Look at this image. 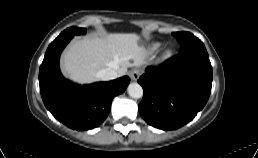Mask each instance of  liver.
<instances>
[{
    "label": "liver",
    "mask_w": 258,
    "mask_h": 158,
    "mask_svg": "<svg viewBox=\"0 0 258 158\" xmlns=\"http://www.w3.org/2000/svg\"><path fill=\"white\" fill-rule=\"evenodd\" d=\"M145 57L137 34L114 33L75 39L63 53L62 68L71 80L92 83L100 70L112 67L123 76L128 67L144 64Z\"/></svg>",
    "instance_id": "liver-1"
}]
</instances>
